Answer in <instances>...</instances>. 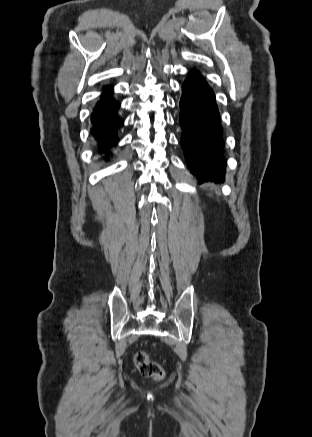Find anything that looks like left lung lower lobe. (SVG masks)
Masks as SVG:
<instances>
[{"mask_svg":"<svg viewBox=\"0 0 312 437\" xmlns=\"http://www.w3.org/2000/svg\"><path fill=\"white\" fill-rule=\"evenodd\" d=\"M181 145L188 167L200 181H220L225 174L224 142L215 96L197 72L182 86Z\"/></svg>","mask_w":312,"mask_h":437,"instance_id":"1","label":"left lung lower lobe"}]
</instances>
